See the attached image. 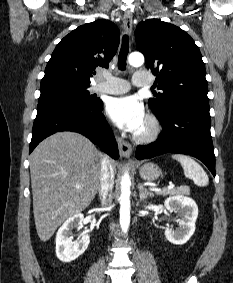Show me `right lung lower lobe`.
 <instances>
[{"label":"right lung lower lobe","instance_id":"right-lung-lower-lobe-1","mask_svg":"<svg viewBox=\"0 0 233 283\" xmlns=\"http://www.w3.org/2000/svg\"><path fill=\"white\" fill-rule=\"evenodd\" d=\"M102 107V101L94 106L59 99L38 102L30 153L46 137L56 132L73 131L86 136L112 158L118 159L117 143L101 113Z\"/></svg>","mask_w":233,"mask_h":283}]
</instances>
